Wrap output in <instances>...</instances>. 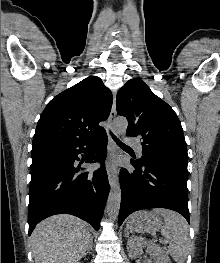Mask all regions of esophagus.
I'll list each match as a JSON object with an SVG mask.
<instances>
[{"label": "esophagus", "instance_id": "esophagus-1", "mask_svg": "<svg viewBox=\"0 0 220 263\" xmlns=\"http://www.w3.org/2000/svg\"><path fill=\"white\" fill-rule=\"evenodd\" d=\"M115 117H116V92H114L113 104H112L110 117H109V123H110L111 131L113 133H115V129H114ZM109 151H110V154H112L115 151V144L111 136H109ZM107 175H108V180H109L110 185L111 186L115 185L116 180H117V172L115 168H113L111 165H109L107 168Z\"/></svg>", "mask_w": 220, "mask_h": 263}]
</instances>
